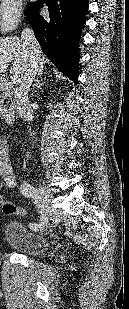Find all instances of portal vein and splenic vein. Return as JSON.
Here are the masks:
<instances>
[{
	"mask_svg": "<svg viewBox=\"0 0 129 309\" xmlns=\"http://www.w3.org/2000/svg\"><path fill=\"white\" fill-rule=\"evenodd\" d=\"M11 81H12L13 84H17V83L20 82V79L17 76H13V77H11Z\"/></svg>",
	"mask_w": 129,
	"mask_h": 309,
	"instance_id": "18ae733b",
	"label": "portal vein and splenic vein"
}]
</instances>
